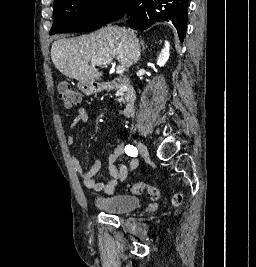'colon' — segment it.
Here are the masks:
<instances>
[{"label": "colon", "instance_id": "obj_1", "mask_svg": "<svg viewBox=\"0 0 256 267\" xmlns=\"http://www.w3.org/2000/svg\"><path fill=\"white\" fill-rule=\"evenodd\" d=\"M57 94L58 98L64 103L66 107H75L82 102V95L79 93L76 88L70 83H59L57 86ZM129 191L132 194H142L147 192L148 195L152 198V201L157 199L156 196L158 195L157 190L144 183V182H134L130 184ZM183 193L176 192L173 196V204L175 207L179 206L183 201Z\"/></svg>", "mask_w": 256, "mask_h": 267}]
</instances>
